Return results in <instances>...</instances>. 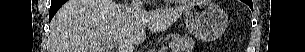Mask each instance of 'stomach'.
Wrapping results in <instances>:
<instances>
[{"label": "stomach", "mask_w": 305, "mask_h": 52, "mask_svg": "<svg viewBox=\"0 0 305 52\" xmlns=\"http://www.w3.org/2000/svg\"><path fill=\"white\" fill-rule=\"evenodd\" d=\"M187 30L201 40L212 41L222 35L228 17L218 5L208 0H198L184 12Z\"/></svg>", "instance_id": "stomach-1"}]
</instances>
